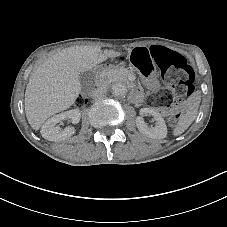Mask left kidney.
<instances>
[{"instance_id": "1", "label": "left kidney", "mask_w": 227, "mask_h": 227, "mask_svg": "<svg viewBox=\"0 0 227 227\" xmlns=\"http://www.w3.org/2000/svg\"><path fill=\"white\" fill-rule=\"evenodd\" d=\"M144 115H151L156 121V126H150L144 121ZM136 124L139 131L143 132L146 136L163 139L167 136V127L164 119L158 111L150 107H143L139 110V116L136 118Z\"/></svg>"}]
</instances>
